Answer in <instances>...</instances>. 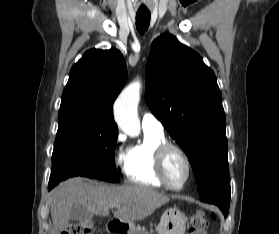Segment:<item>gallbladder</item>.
Here are the masks:
<instances>
[{
    "label": "gallbladder",
    "instance_id": "obj_1",
    "mask_svg": "<svg viewBox=\"0 0 279 234\" xmlns=\"http://www.w3.org/2000/svg\"><path fill=\"white\" fill-rule=\"evenodd\" d=\"M92 214L83 206L75 204L70 212V219L81 221V220H90Z\"/></svg>",
    "mask_w": 279,
    "mask_h": 234
}]
</instances>
